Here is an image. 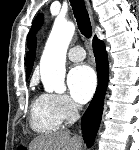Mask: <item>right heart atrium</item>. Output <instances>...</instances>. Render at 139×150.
Segmentation results:
<instances>
[{
    "label": "right heart atrium",
    "mask_w": 139,
    "mask_h": 150,
    "mask_svg": "<svg viewBox=\"0 0 139 150\" xmlns=\"http://www.w3.org/2000/svg\"><path fill=\"white\" fill-rule=\"evenodd\" d=\"M51 97L63 120L70 121L76 117L79 107L68 96L52 94Z\"/></svg>",
    "instance_id": "right-heart-atrium-1"
}]
</instances>
